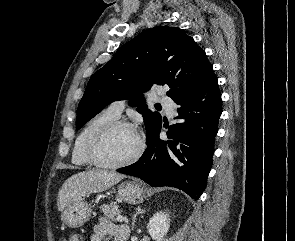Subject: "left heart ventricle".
<instances>
[{"label": "left heart ventricle", "instance_id": "left-heart-ventricle-1", "mask_svg": "<svg viewBox=\"0 0 295 241\" xmlns=\"http://www.w3.org/2000/svg\"><path fill=\"white\" fill-rule=\"evenodd\" d=\"M138 148L135 133L127 128H118L111 132L100 148L102 158L109 162H121L130 158Z\"/></svg>", "mask_w": 295, "mask_h": 241}]
</instances>
